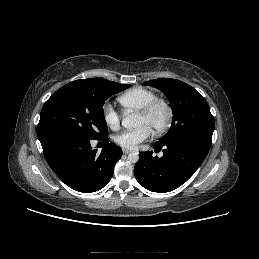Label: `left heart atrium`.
Here are the masks:
<instances>
[{
	"mask_svg": "<svg viewBox=\"0 0 259 259\" xmlns=\"http://www.w3.org/2000/svg\"><path fill=\"white\" fill-rule=\"evenodd\" d=\"M152 130L147 126H140L135 130H126L114 137V142L127 150L136 149L142 142L148 140Z\"/></svg>",
	"mask_w": 259,
	"mask_h": 259,
	"instance_id": "left-heart-atrium-1",
	"label": "left heart atrium"
}]
</instances>
